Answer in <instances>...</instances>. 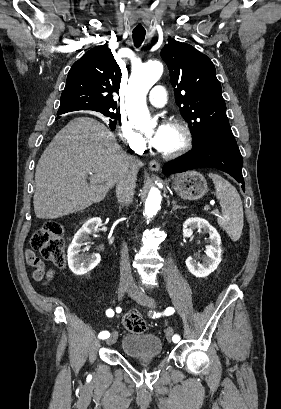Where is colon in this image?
Wrapping results in <instances>:
<instances>
[{
	"instance_id": "5ec220e1",
	"label": "colon",
	"mask_w": 281,
	"mask_h": 409,
	"mask_svg": "<svg viewBox=\"0 0 281 409\" xmlns=\"http://www.w3.org/2000/svg\"><path fill=\"white\" fill-rule=\"evenodd\" d=\"M31 249H40V255H45V260L64 266L65 241L62 225L55 221H48L40 226L31 238ZM122 324L134 333L143 332L147 327L142 315L134 312L124 315Z\"/></svg>"
}]
</instances>
